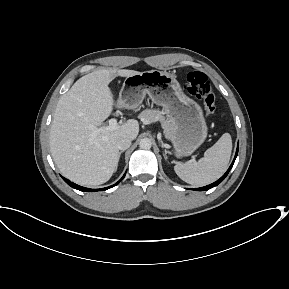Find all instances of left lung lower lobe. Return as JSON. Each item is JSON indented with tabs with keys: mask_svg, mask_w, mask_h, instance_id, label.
I'll list each match as a JSON object with an SVG mask.
<instances>
[{
	"mask_svg": "<svg viewBox=\"0 0 289 289\" xmlns=\"http://www.w3.org/2000/svg\"><path fill=\"white\" fill-rule=\"evenodd\" d=\"M237 154H238V148H237V151H236V154H235V157H234V160H233L232 164L230 165V167H229V169L227 170V172H226L220 179H218L216 182H214V183H212V184H210V185H207V186L201 187V188H195V189H193V190L205 191V190H209V189L217 186L219 183H221V182L225 179V177L228 175L230 169L232 168V166H233V164H234V162H235V159H236V157H237Z\"/></svg>",
	"mask_w": 289,
	"mask_h": 289,
	"instance_id": "0a47b994",
	"label": "left lung lower lobe"
}]
</instances>
